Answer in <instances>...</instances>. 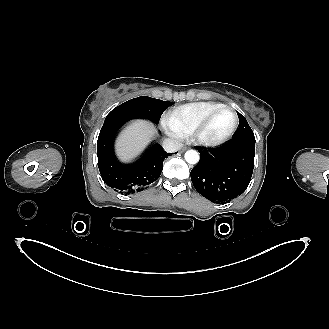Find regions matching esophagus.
Here are the masks:
<instances>
[{"label":"esophagus","mask_w":329,"mask_h":329,"mask_svg":"<svg viewBox=\"0 0 329 329\" xmlns=\"http://www.w3.org/2000/svg\"><path fill=\"white\" fill-rule=\"evenodd\" d=\"M185 150H187V147L182 148L181 152H184Z\"/></svg>","instance_id":"obj_1"}]
</instances>
